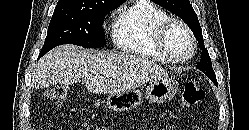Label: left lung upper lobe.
Masks as SVG:
<instances>
[{
	"instance_id": "left-lung-upper-lobe-1",
	"label": "left lung upper lobe",
	"mask_w": 249,
	"mask_h": 130,
	"mask_svg": "<svg viewBox=\"0 0 249 130\" xmlns=\"http://www.w3.org/2000/svg\"><path fill=\"white\" fill-rule=\"evenodd\" d=\"M163 8L180 17L192 30L200 48L202 49L201 60L196 67L207 75L212 82L217 85L215 73L211 65V58L207 49L204 47L201 26L198 17L190 4L189 0H153Z\"/></svg>"
}]
</instances>
